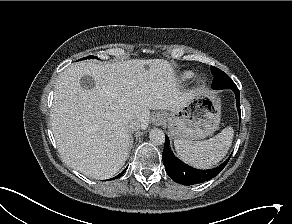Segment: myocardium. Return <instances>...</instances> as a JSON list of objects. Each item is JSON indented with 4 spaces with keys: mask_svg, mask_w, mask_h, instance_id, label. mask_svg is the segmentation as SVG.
<instances>
[{
    "mask_svg": "<svg viewBox=\"0 0 292 224\" xmlns=\"http://www.w3.org/2000/svg\"><path fill=\"white\" fill-rule=\"evenodd\" d=\"M200 82H204V79H203V78H201V79H200Z\"/></svg>",
    "mask_w": 292,
    "mask_h": 224,
    "instance_id": "f54148a6",
    "label": "myocardium"
}]
</instances>
